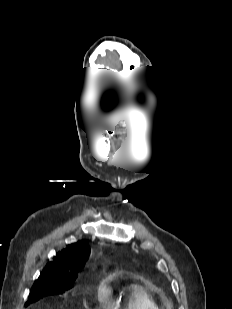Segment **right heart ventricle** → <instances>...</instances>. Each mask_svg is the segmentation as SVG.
<instances>
[{
  "mask_svg": "<svg viewBox=\"0 0 232 309\" xmlns=\"http://www.w3.org/2000/svg\"><path fill=\"white\" fill-rule=\"evenodd\" d=\"M126 303L124 309H159V306L150 294L141 286H128L124 292ZM116 303L107 300L104 304L105 309H117Z\"/></svg>",
  "mask_w": 232,
  "mask_h": 309,
  "instance_id": "e07e8e85",
  "label": "right heart ventricle"
}]
</instances>
